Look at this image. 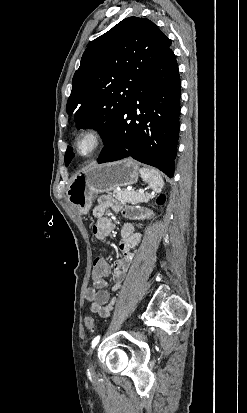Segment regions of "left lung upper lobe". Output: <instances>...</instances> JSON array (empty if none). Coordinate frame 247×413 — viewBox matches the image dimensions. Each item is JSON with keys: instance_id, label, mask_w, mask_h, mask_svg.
Segmentation results:
<instances>
[{"instance_id": "5c2ea615", "label": "left lung upper lobe", "mask_w": 247, "mask_h": 413, "mask_svg": "<svg viewBox=\"0 0 247 413\" xmlns=\"http://www.w3.org/2000/svg\"><path fill=\"white\" fill-rule=\"evenodd\" d=\"M171 40L149 19L129 17L85 50L72 80L66 110L80 128L97 129L107 141L134 92ZM65 153V165L72 160Z\"/></svg>"}]
</instances>
